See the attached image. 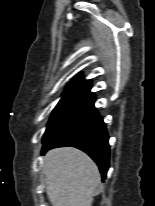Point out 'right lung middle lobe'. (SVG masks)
Returning a JSON list of instances; mask_svg holds the SVG:
<instances>
[{"label":"right lung middle lobe","mask_w":155,"mask_h":206,"mask_svg":"<svg viewBox=\"0 0 155 206\" xmlns=\"http://www.w3.org/2000/svg\"><path fill=\"white\" fill-rule=\"evenodd\" d=\"M94 102L95 96L90 89H66L52 112L43 137L55 133L95 109Z\"/></svg>","instance_id":"1"}]
</instances>
